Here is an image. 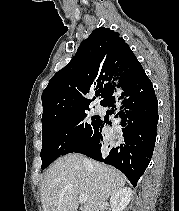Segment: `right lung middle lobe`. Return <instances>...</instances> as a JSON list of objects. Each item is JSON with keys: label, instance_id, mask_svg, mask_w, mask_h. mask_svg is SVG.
<instances>
[{"label": "right lung middle lobe", "instance_id": "dd1d6c3e", "mask_svg": "<svg viewBox=\"0 0 179 211\" xmlns=\"http://www.w3.org/2000/svg\"><path fill=\"white\" fill-rule=\"evenodd\" d=\"M99 119H87L86 110L52 119L42 128V169H45L60 155L73 152L93 134Z\"/></svg>", "mask_w": 179, "mask_h": 211}]
</instances>
